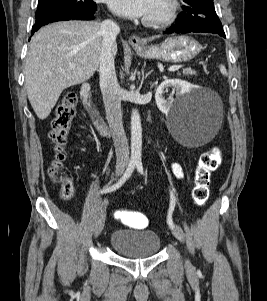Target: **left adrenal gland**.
<instances>
[{
	"mask_svg": "<svg viewBox=\"0 0 267 301\" xmlns=\"http://www.w3.org/2000/svg\"><path fill=\"white\" fill-rule=\"evenodd\" d=\"M151 72H152V70L149 71L148 73H146L145 78H147L151 74ZM142 73H143V69H142ZM143 78H144V75H143Z\"/></svg>",
	"mask_w": 267,
	"mask_h": 301,
	"instance_id": "left-adrenal-gland-1",
	"label": "left adrenal gland"
}]
</instances>
